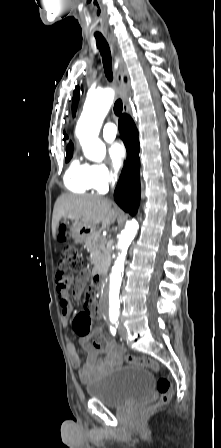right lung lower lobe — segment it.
Returning <instances> with one entry per match:
<instances>
[{
  "instance_id": "obj_1",
  "label": "right lung lower lobe",
  "mask_w": 221,
  "mask_h": 448,
  "mask_svg": "<svg viewBox=\"0 0 221 448\" xmlns=\"http://www.w3.org/2000/svg\"><path fill=\"white\" fill-rule=\"evenodd\" d=\"M119 130L127 149V161L115 189L114 198L124 211L134 215L141 195L138 131L131 117L126 114L119 119Z\"/></svg>"
}]
</instances>
